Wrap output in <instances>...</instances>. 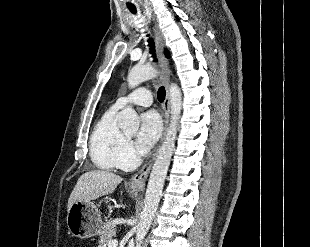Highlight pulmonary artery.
I'll use <instances>...</instances> for the list:
<instances>
[{
	"instance_id": "pulmonary-artery-1",
	"label": "pulmonary artery",
	"mask_w": 310,
	"mask_h": 247,
	"mask_svg": "<svg viewBox=\"0 0 310 247\" xmlns=\"http://www.w3.org/2000/svg\"><path fill=\"white\" fill-rule=\"evenodd\" d=\"M129 104L150 106L152 104V93L145 87L138 88L130 94L120 97L113 105L117 109L124 108Z\"/></svg>"
}]
</instances>
